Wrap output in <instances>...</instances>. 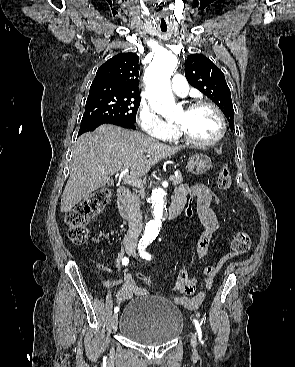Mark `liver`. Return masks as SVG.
<instances>
[{"label":"liver","mask_w":295,"mask_h":367,"mask_svg":"<svg viewBox=\"0 0 295 367\" xmlns=\"http://www.w3.org/2000/svg\"><path fill=\"white\" fill-rule=\"evenodd\" d=\"M181 149L139 132L107 124L81 135L73 151L60 211L67 213L93 191L105 186L110 175L130 168L131 176L142 177L160 160Z\"/></svg>","instance_id":"1"}]
</instances>
